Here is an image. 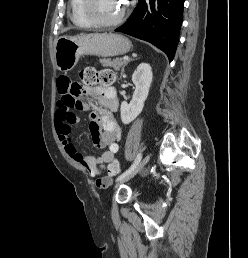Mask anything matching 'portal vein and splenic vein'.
Masks as SVG:
<instances>
[{
  "label": "portal vein and splenic vein",
  "mask_w": 248,
  "mask_h": 258,
  "mask_svg": "<svg viewBox=\"0 0 248 258\" xmlns=\"http://www.w3.org/2000/svg\"><path fill=\"white\" fill-rule=\"evenodd\" d=\"M123 60L127 61V60H129V57L128 56H124Z\"/></svg>",
  "instance_id": "1"
}]
</instances>
